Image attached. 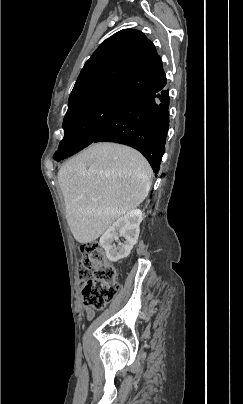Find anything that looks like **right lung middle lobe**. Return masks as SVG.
Here are the masks:
<instances>
[{
	"mask_svg": "<svg viewBox=\"0 0 243 404\" xmlns=\"http://www.w3.org/2000/svg\"><path fill=\"white\" fill-rule=\"evenodd\" d=\"M125 103L122 99H104L67 111L63 120L64 138L54 159L60 161L92 144Z\"/></svg>",
	"mask_w": 243,
	"mask_h": 404,
	"instance_id": "right-lung-middle-lobe-1",
	"label": "right lung middle lobe"
}]
</instances>
